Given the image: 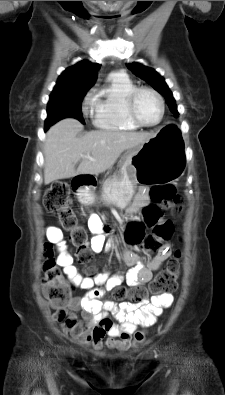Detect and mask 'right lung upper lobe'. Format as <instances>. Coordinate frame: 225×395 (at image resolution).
Returning a JSON list of instances; mask_svg holds the SVG:
<instances>
[{
  "mask_svg": "<svg viewBox=\"0 0 225 395\" xmlns=\"http://www.w3.org/2000/svg\"><path fill=\"white\" fill-rule=\"evenodd\" d=\"M99 64L83 60L67 68L58 78L55 89H90L97 78Z\"/></svg>",
  "mask_w": 225,
  "mask_h": 395,
  "instance_id": "cb5924a9",
  "label": "right lung upper lobe"
}]
</instances>
